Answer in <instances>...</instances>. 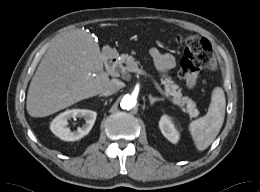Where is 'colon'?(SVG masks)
I'll use <instances>...</instances> for the list:
<instances>
[{
  "label": "colon",
  "instance_id": "1",
  "mask_svg": "<svg viewBox=\"0 0 260 192\" xmlns=\"http://www.w3.org/2000/svg\"><path fill=\"white\" fill-rule=\"evenodd\" d=\"M178 41L185 45L184 54L179 61V75L189 87H193L199 71L213 62L212 46L200 36H182Z\"/></svg>",
  "mask_w": 260,
  "mask_h": 192
}]
</instances>
